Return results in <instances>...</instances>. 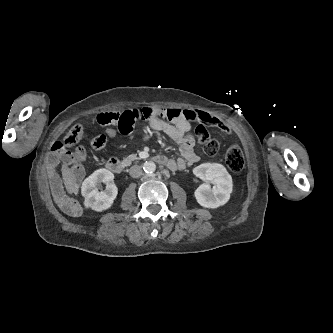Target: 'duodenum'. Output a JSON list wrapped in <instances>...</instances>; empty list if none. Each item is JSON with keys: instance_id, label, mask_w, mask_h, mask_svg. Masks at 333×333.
<instances>
[{"instance_id": "duodenum-1", "label": "duodenum", "mask_w": 333, "mask_h": 333, "mask_svg": "<svg viewBox=\"0 0 333 333\" xmlns=\"http://www.w3.org/2000/svg\"><path fill=\"white\" fill-rule=\"evenodd\" d=\"M155 160L157 162L163 163V164H165L167 161V159L164 156H157V157H155ZM105 167L108 171L115 173V174L121 173L124 169L123 164L117 158H110L106 162Z\"/></svg>"}]
</instances>
